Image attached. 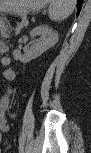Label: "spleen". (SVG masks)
<instances>
[{
    "label": "spleen",
    "mask_w": 91,
    "mask_h": 153,
    "mask_svg": "<svg viewBox=\"0 0 91 153\" xmlns=\"http://www.w3.org/2000/svg\"><path fill=\"white\" fill-rule=\"evenodd\" d=\"M74 5L71 0H51L49 4V15L51 19L59 20L68 15Z\"/></svg>",
    "instance_id": "obj_1"
}]
</instances>
